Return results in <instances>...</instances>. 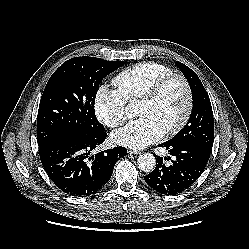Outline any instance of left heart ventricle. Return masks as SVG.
I'll use <instances>...</instances> for the list:
<instances>
[{
    "label": "left heart ventricle",
    "mask_w": 249,
    "mask_h": 249,
    "mask_svg": "<svg viewBox=\"0 0 249 249\" xmlns=\"http://www.w3.org/2000/svg\"><path fill=\"white\" fill-rule=\"evenodd\" d=\"M185 107V92L177 80L170 82L153 102L140 101L138 115L153 117L164 130L175 125Z\"/></svg>",
    "instance_id": "left-heart-ventricle-1"
}]
</instances>
